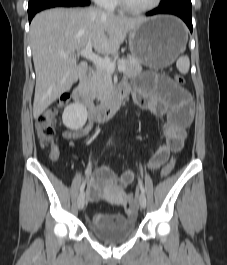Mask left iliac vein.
<instances>
[{"label": "left iliac vein", "instance_id": "obj_1", "mask_svg": "<svg viewBox=\"0 0 227 265\" xmlns=\"http://www.w3.org/2000/svg\"><path fill=\"white\" fill-rule=\"evenodd\" d=\"M139 205L143 209L146 207V197L143 193H141L139 196Z\"/></svg>", "mask_w": 227, "mask_h": 265}]
</instances>
